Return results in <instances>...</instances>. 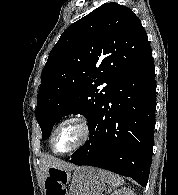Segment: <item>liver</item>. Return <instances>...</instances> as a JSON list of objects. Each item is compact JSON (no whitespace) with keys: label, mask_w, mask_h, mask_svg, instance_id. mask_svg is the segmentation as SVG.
Listing matches in <instances>:
<instances>
[{"label":"liver","mask_w":178,"mask_h":195,"mask_svg":"<svg viewBox=\"0 0 178 195\" xmlns=\"http://www.w3.org/2000/svg\"><path fill=\"white\" fill-rule=\"evenodd\" d=\"M42 169L47 174L49 168H59L65 170H72L74 168L73 165L65 163L57 158L51 156H44L42 158Z\"/></svg>","instance_id":"1"}]
</instances>
